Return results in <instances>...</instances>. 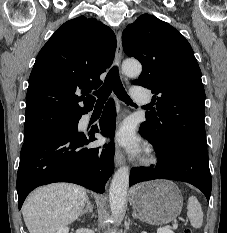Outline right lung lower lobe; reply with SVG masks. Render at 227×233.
<instances>
[{
	"instance_id": "right-lung-lower-lobe-1",
	"label": "right lung lower lobe",
	"mask_w": 227,
	"mask_h": 233,
	"mask_svg": "<svg viewBox=\"0 0 227 233\" xmlns=\"http://www.w3.org/2000/svg\"><path fill=\"white\" fill-rule=\"evenodd\" d=\"M116 111L110 99L99 126L89 133L78 132V121L67 128L56 129L25 140L21 149L17 173L18 206L21 209L26 196L36 187L71 182L97 193H103L105 183L114 170V142L96 148H87L96 140L94 133L114 135Z\"/></svg>"
}]
</instances>
